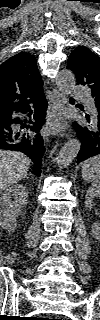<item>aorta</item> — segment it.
<instances>
[{
	"label": "aorta",
	"instance_id": "obj_1",
	"mask_svg": "<svg viewBox=\"0 0 100 320\" xmlns=\"http://www.w3.org/2000/svg\"><path fill=\"white\" fill-rule=\"evenodd\" d=\"M58 89L63 93H70L75 87V76L70 70H61L56 76ZM81 144L77 139L68 141L60 150L57 157V165L60 169L66 168L72 163L80 150Z\"/></svg>",
	"mask_w": 100,
	"mask_h": 320
}]
</instances>
